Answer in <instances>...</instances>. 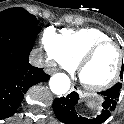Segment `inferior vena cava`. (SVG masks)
I'll use <instances>...</instances> for the list:
<instances>
[{
    "label": "inferior vena cava",
    "instance_id": "inferior-vena-cava-1",
    "mask_svg": "<svg viewBox=\"0 0 124 124\" xmlns=\"http://www.w3.org/2000/svg\"><path fill=\"white\" fill-rule=\"evenodd\" d=\"M31 65L36 67H42L44 65L43 56L37 52H33L29 58Z\"/></svg>",
    "mask_w": 124,
    "mask_h": 124
}]
</instances>
